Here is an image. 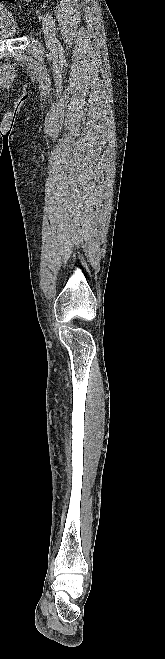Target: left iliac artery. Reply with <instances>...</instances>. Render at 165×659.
Instances as JSON below:
<instances>
[{
	"mask_svg": "<svg viewBox=\"0 0 165 659\" xmlns=\"http://www.w3.org/2000/svg\"><path fill=\"white\" fill-rule=\"evenodd\" d=\"M44 19H45V21L49 24V26H50V28H51V31L53 32L52 35H53V37H54V43H56L57 45H59V42H58V40H57L56 37H55V21H54L53 17H52L49 13H46V14L44 15Z\"/></svg>",
	"mask_w": 165,
	"mask_h": 659,
	"instance_id": "left-iliac-artery-1",
	"label": "left iliac artery"
}]
</instances>
